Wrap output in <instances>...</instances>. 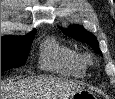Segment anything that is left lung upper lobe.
<instances>
[{
	"label": "left lung upper lobe",
	"instance_id": "obj_1",
	"mask_svg": "<svg viewBox=\"0 0 115 99\" xmlns=\"http://www.w3.org/2000/svg\"><path fill=\"white\" fill-rule=\"evenodd\" d=\"M62 32L78 41L81 42H86L89 44L96 53L101 54V51L99 49V44L94 35H92L90 32H87L84 28L80 26H73L70 27L69 29H62Z\"/></svg>",
	"mask_w": 115,
	"mask_h": 99
}]
</instances>
